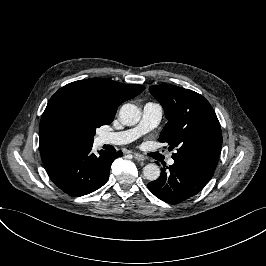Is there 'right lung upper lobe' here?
<instances>
[{
    "label": "right lung upper lobe",
    "mask_w": 266,
    "mask_h": 266,
    "mask_svg": "<svg viewBox=\"0 0 266 266\" xmlns=\"http://www.w3.org/2000/svg\"><path fill=\"white\" fill-rule=\"evenodd\" d=\"M145 89L142 85L123 84L92 78L75 81L60 88L49 100L39 126L40 153L47 167L63 151L81 146L78 136L66 121L64 109L75 98L91 99L111 123L116 108Z\"/></svg>",
    "instance_id": "obj_1"
}]
</instances>
